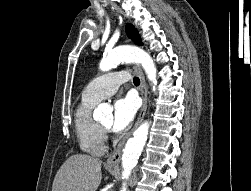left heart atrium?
Listing matches in <instances>:
<instances>
[{
    "label": "left heart atrium",
    "instance_id": "1",
    "mask_svg": "<svg viewBox=\"0 0 251 191\" xmlns=\"http://www.w3.org/2000/svg\"><path fill=\"white\" fill-rule=\"evenodd\" d=\"M136 104L133 99L125 98L115 102L111 120L113 132L120 133L133 121L136 114Z\"/></svg>",
    "mask_w": 251,
    "mask_h": 191
}]
</instances>
